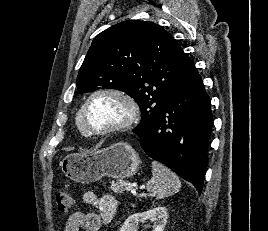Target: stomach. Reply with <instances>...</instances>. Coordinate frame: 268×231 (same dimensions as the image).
<instances>
[{
  "label": "stomach",
  "instance_id": "1",
  "mask_svg": "<svg viewBox=\"0 0 268 231\" xmlns=\"http://www.w3.org/2000/svg\"><path fill=\"white\" fill-rule=\"evenodd\" d=\"M59 165L69 179L88 184L105 176L125 179L135 175L140 158L129 144L119 142L103 149L68 154Z\"/></svg>",
  "mask_w": 268,
  "mask_h": 231
}]
</instances>
